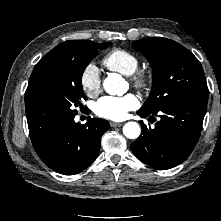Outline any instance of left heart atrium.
Instances as JSON below:
<instances>
[{
    "mask_svg": "<svg viewBox=\"0 0 221 221\" xmlns=\"http://www.w3.org/2000/svg\"><path fill=\"white\" fill-rule=\"evenodd\" d=\"M138 106L139 100L132 93L124 96H104L94 104V112L99 117L119 121L125 119L128 112Z\"/></svg>",
    "mask_w": 221,
    "mask_h": 221,
    "instance_id": "1",
    "label": "left heart atrium"
}]
</instances>
